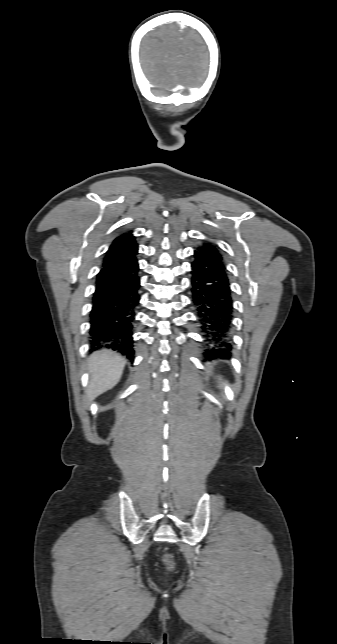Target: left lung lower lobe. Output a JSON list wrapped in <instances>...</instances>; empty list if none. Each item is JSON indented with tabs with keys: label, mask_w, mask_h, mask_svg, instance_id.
Segmentation results:
<instances>
[{
	"label": "left lung lower lobe",
	"mask_w": 337,
	"mask_h": 644,
	"mask_svg": "<svg viewBox=\"0 0 337 644\" xmlns=\"http://www.w3.org/2000/svg\"><path fill=\"white\" fill-rule=\"evenodd\" d=\"M192 263L191 293L198 322L206 338L207 358L231 350L233 300L226 268L214 258L195 251ZM228 349V350H227Z\"/></svg>",
	"instance_id": "obj_1"
}]
</instances>
